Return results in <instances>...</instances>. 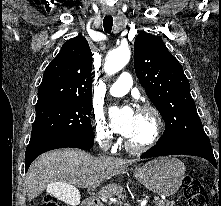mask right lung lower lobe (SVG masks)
<instances>
[{"label": "right lung lower lobe", "instance_id": "obj_1", "mask_svg": "<svg viewBox=\"0 0 221 206\" xmlns=\"http://www.w3.org/2000/svg\"><path fill=\"white\" fill-rule=\"evenodd\" d=\"M93 145L94 140L92 138L80 137L49 139L35 143H30L27 146L25 153V169L27 171L33 160L46 151L65 147H73L87 150L93 147Z\"/></svg>", "mask_w": 221, "mask_h": 206}]
</instances>
